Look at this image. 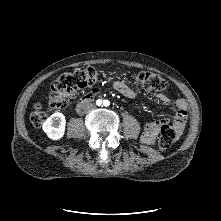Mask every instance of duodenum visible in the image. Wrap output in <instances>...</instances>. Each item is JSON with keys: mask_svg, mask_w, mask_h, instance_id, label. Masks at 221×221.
Listing matches in <instances>:
<instances>
[{"mask_svg": "<svg viewBox=\"0 0 221 221\" xmlns=\"http://www.w3.org/2000/svg\"><path fill=\"white\" fill-rule=\"evenodd\" d=\"M94 99L93 94H88L84 96L77 104V109L80 111L84 109L92 100Z\"/></svg>", "mask_w": 221, "mask_h": 221, "instance_id": "obj_1", "label": "duodenum"}]
</instances>
